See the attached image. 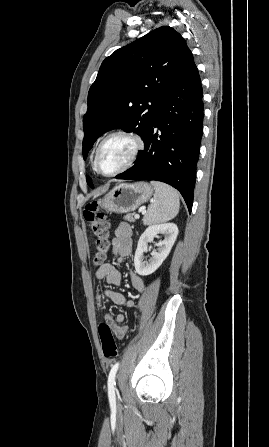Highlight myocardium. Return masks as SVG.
I'll return each mask as SVG.
<instances>
[{
	"label": "myocardium",
	"mask_w": 269,
	"mask_h": 447,
	"mask_svg": "<svg viewBox=\"0 0 269 447\" xmlns=\"http://www.w3.org/2000/svg\"><path fill=\"white\" fill-rule=\"evenodd\" d=\"M117 135H125V136H128V137L132 138L134 140V142H135V148H134V150H133L129 160L127 161V163L125 165H123L122 167H120V168H118V169H116L114 171L104 172V171H102L100 169V166H99V158H100L101 150H102L104 144L109 139H111L112 137L117 136ZM144 146H145L144 139H143V137L139 133H137L135 131H132V130H128V129H117V130H114V131L108 133L102 139L100 144L98 145L97 150H96V155H95V168H96V170L100 174H102L104 176H113L115 174L124 172V171L128 170L129 168H131L135 164V162L137 161L140 153L144 149Z\"/></svg>",
	"instance_id": "myocardium-1"
}]
</instances>
